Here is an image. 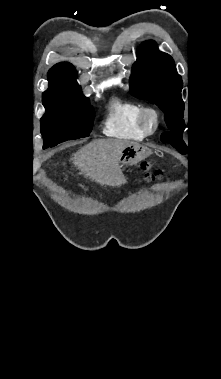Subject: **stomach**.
Returning a JSON list of instances; mask_svg holds the SVG:
<instances>
[{
	"label": "stomach",
	"instance_id": "0dacf381",
	"mask_svg": "<svg viewBox=\"0 0 221 379\" xmlns=\"http://www.w3.org/2000/svg\"><path fill=\"white\" fill-rule=\"evenodd\" d=\"M150 151L140 145L127 146L121 153L119 163L121 167L133 166L147 158Z\"/></svg>",
	"mask_w": 221,
	"mask_h": 379
}]
</instances>
